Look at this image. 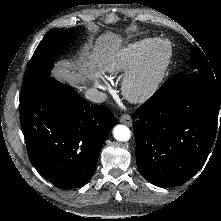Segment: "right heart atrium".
<instances>
[{"label":"right heart atrium","instance_id":"obj_1","mask_svg":"<svg viewBox=\"0 0 221 221\" xmlns=\"http://www.w3.org/2000/svg\"><path fill=\"white\" fill-rule=\"evenodd\" d=\"M97 86L100 88H105V85L102 82H97Z\"/></svg>","mask_w":221,"mask_h":221}]
</instances>
